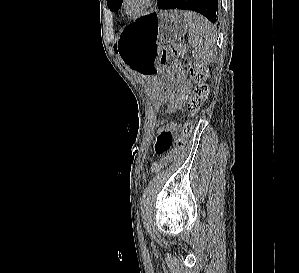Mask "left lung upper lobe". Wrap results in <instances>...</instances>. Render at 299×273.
<instances>
[{
  "label": "left lung upper lobe",
  "instance_id": "1",
  "mask_svg": "<svg viewBox=\"0 0 299 273\" xmlns=\"http://www.w3.org/2000/svg\"><path fill=\"white\" fill-rule=\"evenodd\" d=\"M123 0H107V5L111 11H116L121 7Z\"/></svg>",
  "mask_w": 299,
  "mask_h": 273
}]
</instances>
